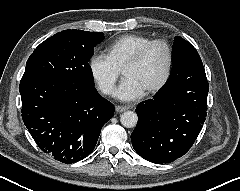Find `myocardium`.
<instances>
[{
    "mask_svg": "<svg viewBox=\"0 0 240 191\" xmlns=\"http://www.w3.org/2000/svg\"><path fill=\"white\" fill-rule=\"evenodd\" d=\"M156 44H161L166 49V52H167L166 68H165V72H164V75L161 78V80L156 85H154L149 90H147L145 92V95L156 94L157 92L162 90L164 88V86L167 84V82L171 76L172 67H173V59H174L173 49L171 47V44L165 39H152L151 41L144 44L123 66V71H124L128 67L139 64L144 59V57L146 56L148 51Z\"/></svg>",
    "mask_w": 240,
    "mask_h": 191,
    "instance_id": "obj_1",
    "label": "myocardium"
}]
</instances>
